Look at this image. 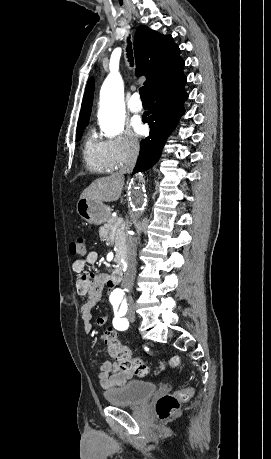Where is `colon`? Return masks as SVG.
<instances>
[{
    "label": "colon",
    "mask_w": 271,
    "mask_h": 459,
    "mask_svg": "<svg viewBox=\"0 0 271 459\" xmlns=\"http://www.w3.org/2000/svg\"><path fill=\"white\" fill-rule=\"evenodd\" d=\"M69 250L72 256H84L86 253L85 240L83 238H77L72 241ZM102 339L107 346L109 355L118 361L123 370L129 371L138 377H144L148 374L149 368L145 362L140 358L132 357L130 349L121 344L115 331L111 329L105 330ZM179 364L180 358L178 356H173L166 363L162 364L158 371H162L166 367L175 368L179 366ZM191 394L192 391L190 389H182L162 396L156 403L157 416L161 420H166L174 416L180 404L188 400Z\"/></svg>",
    "instance_id": "obj_1"
}]
</instances>
